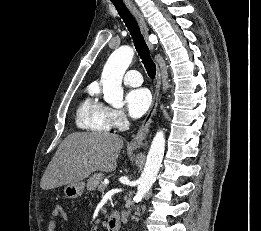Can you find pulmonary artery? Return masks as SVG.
<instances>
[{"mask_svg":"<svg viewBox=\"0 0 261 231\" xmlns=\"http://www.w3.org/2000/svg\"><path fill=\"white\" fill-rule=\"evenodd\" d=\"M124 83L133 87L140 86L142 84V76L136 70H129L124 76Z\"/></svg>","mask_w":261,"mask_h":231,"instance_id":"1","label":"pulmonary artery"}]
</instances>
